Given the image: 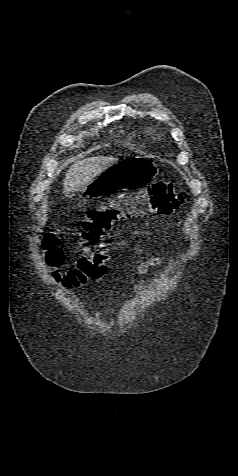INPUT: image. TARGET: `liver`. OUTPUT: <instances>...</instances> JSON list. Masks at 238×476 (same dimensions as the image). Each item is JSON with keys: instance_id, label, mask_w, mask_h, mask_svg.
Listing matches in <instances>:
<instances>
[{"instance_id": "obj_1", "label": "liver", "mask_w": 238, "mask_h": 476, "mask_svg": "<svg viewBox=\"0 0 238 476\" xmlns=\"http://www.w3.org/2000/svg\"><path fill=\"white\" fill-rule=\"evenodd\" d=\"M112 156H97L76 160L67 170L63 180L64 194L72 196L74 192L81 191L97 175L117 162Z\"/></svg>"}]
</instances>
